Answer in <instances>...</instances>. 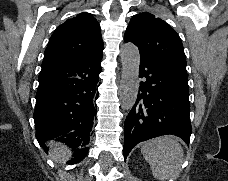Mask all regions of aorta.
Here are the masks:
<instances>
[{
	"label": "aorta",
	"mask_w": 228,
	"mask_h": 181,
	"mask_svg": "<svg viewBox=\"0 0 228 181\" xmlns=\"http://www.w3.org/2000/svg\"><path fill=\"white\" fill-rule=\"evenodd\" d=\"M122 75L120 82V104L123 110H130L137 98L139 88L140 55L132 43H125L120 50Z\"/></svg>",
	"instance_id": "aorta-1"
}]
</instances>
